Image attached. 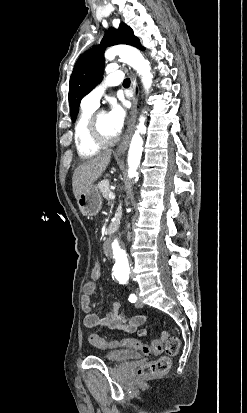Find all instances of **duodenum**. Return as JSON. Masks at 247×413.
Returning <instances> with one entry per match:
<instances>
[{
    "label": "duodenum",
    "mask_w": 247,
    "mask_h": 413,
    "mask_svg": "<svg viewBox=\"0 0 247 413\" xmlns=\"http://www.w3.org/2000/svg\"><path fill=\"white\" fill-rule=\"evenodd\" d=\"M116 227H117V223L115 222L110 223L109 226L107 227V233L109 235L113 234L116 230Z\"/></svg>",
    "instance_id": "obj_1"
}]
</instances>
